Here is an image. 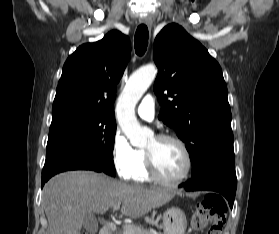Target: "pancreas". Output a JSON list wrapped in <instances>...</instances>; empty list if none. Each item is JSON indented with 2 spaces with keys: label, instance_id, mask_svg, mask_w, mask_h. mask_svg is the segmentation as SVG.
<instances>
[{
  "label": "pancreas",
  "instance_id": "pancreas-1",
  "mask_svg": "<svg viewBox=\"0 0 279 234\" xmlns=\"http://www.w3.org/2000/svg\"><path fill=\"white\" fill-rule=\"evenodd\" d=\"M130 231L129 233L123 229V231L118 232L117 234H151L149 232H146L142 226L138 225H128ZM162 234V233H158Z\"/></svg>",
  "mask_w": 279,
  "mask_h": 234
}]
</instances>
